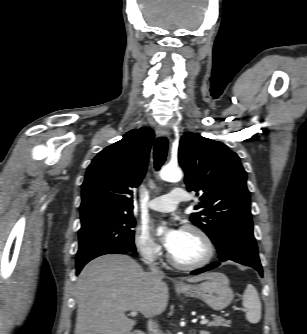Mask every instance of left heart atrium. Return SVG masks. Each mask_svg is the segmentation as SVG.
<instances>
[{
    "label": "left heart atrium",
    "mask_w": 307,
    "mask_h": 334,
    "mask_svg": "<svg viewBox=\"0 0 307 334\" xmlns=\"http://www.w3.org/2000/svg\"><path fill=\"white\" fill-rule=\"evenodd\" d=\"M183 234V230L175 226L174 224H170L168 229L163 237V244L167 248L168 251H173L181 241V237Z\"/></svg>",
    "instance_id": "1"
}]
</instances>
